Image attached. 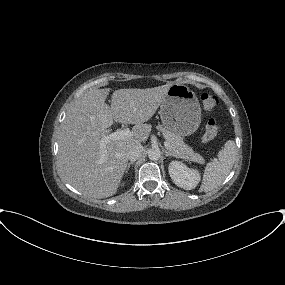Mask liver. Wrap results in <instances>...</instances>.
Returning <instances> with one entry per match:
<instances>
[{"label":"liver","instance_id":"6515ba94","mask_svg":"<svg viewBox=\"0 0 285 285\" xmlns=\"http://www.w3.org/2000/svg\"><path fill=\"white\" fill-rule=\"evenodd\" d=\"M173 84L115 90L111 106L105 102L109 88L91 89L76 101L66 114L59 136L58 164L66 182L88 197L114 195L126 170L128 150L148 139L152 127L146 122ZM113 121L134 124L133 136L110 141L101 148L100 135Z\"/></svg>","mask_w":285,"mask_h":285}]
</instances>
